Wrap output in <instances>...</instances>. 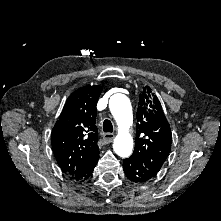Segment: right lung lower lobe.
<instances>
[{"instance_id":"obj_1","label":"right lung lower lobe","mask_w":221,"mask_h":221,"mask_svg":"<svg viewBox=\"0 0 221 221\" xmlns=\"http://www.w3.org/2000/svg\"><path fill=\"white\" fill-rule=\"evenodd\" d=\"M98 159H99V155L81 173L76 174L75 176L71 177V179H73L75 181H79V182L85 181L86 179H88L92 175V172L98 162Z\"/></svg>"}]
</instances>
